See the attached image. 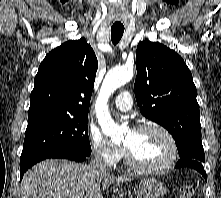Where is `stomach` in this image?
<instances>
[{
  "instance_id": "1",
  "label": "stomach",
  "mask_w": 221,
  "mask_h": 198,
  "mask_svg": "<svg viewBox=\"0 0 221 198\" xmlns=\"http://www.w3.org/2000/svg\"><path fill=\"white\" fill-rule=\"evenodd\" d=\"M164 194L165 187L157 179H144L137 187V198H163Z\"/></svg>"
}]
</instances>
